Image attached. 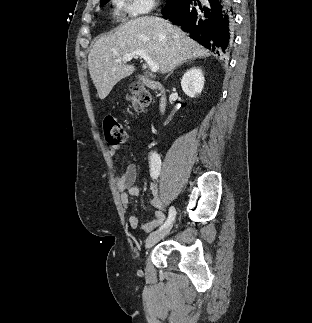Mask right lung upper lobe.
<instances>
[{
    "mask_svg": "<svg viewBox=\"0 0 312 323\" xmlns=\"http://www.w3.org/2000/svg\"><path fill=\"white\" fill-rule=\"evenodd\" d=\"M104 3H106V0H100L101 5L104 4Z\"/></svg>",
    "mask_w": 312,
    "mask_h": 323,
    "instance_id": "right-lung-upper-lobe-1",
    "label": "right lung upper lobe"
}]
</instances>
